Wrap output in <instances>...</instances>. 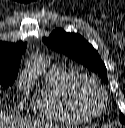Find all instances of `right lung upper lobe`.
<instances>
[{"label":"right lung upper lobe","instance_id":"right-lung-upper-lobe-1","mask_svg":"<svg viewBox=\"0 0 125 128\" xmlns=\"http://www.w3.org/2000/svg\"><path fill=\"white\" fill-rule=\"evenodd\" d=\"M27 47L26 43H6L0 41V68L18 69L22 53Z\"/></svg>","mask_w":125,"mask_h":128}]
</instances>
